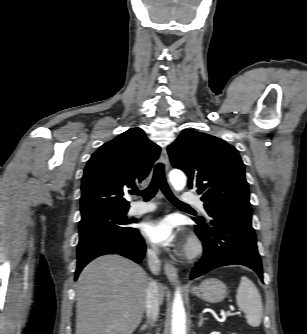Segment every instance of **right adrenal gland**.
Masks as SVG:
<instances>
[{
	"instance_id": "2a0ac1e0",
	"label": "right adrenal gland",
	"mask_w": 307,
	"mask_h": 334,
	"mask_svg": "<svg viewBox=\"0 0 307 334\" xmlns=\"http://www.w3.org/2000/svg\"><path fill=\"white\" fill-rule=\"evenodd\" d=\"M146 328H147V325L144 324V325L141 327V330H144V329H146Z\"/></svg>"
}]
</instances>
